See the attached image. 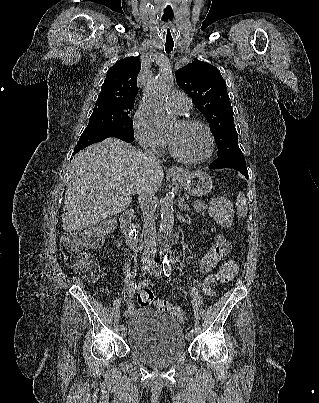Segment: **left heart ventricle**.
I'll list each match as a JSON object with an SVG mask.
<instances>
[{"label":"left heart ventricle","mask_w":319,"mask_h":403,"mask_svg":"<svg viewBox=\"0 0 319 403\" xmlns=\"http://www.w3.org/2000/svg\"><path fill=\"white\" fill-rule=\"evenodd\" d=\"M176 151L188 159H199L208 150L206 132L197 125L184 126L177 120L166 132Z\"/></svg>","instance_id":"left-heart-ventricle-1"}]
</instances>
